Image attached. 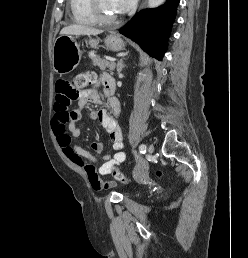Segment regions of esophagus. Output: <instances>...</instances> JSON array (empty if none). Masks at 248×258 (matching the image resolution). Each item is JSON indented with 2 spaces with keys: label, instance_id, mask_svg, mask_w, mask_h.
<instances>
[{
  "label": "esophagus",
  "instance_id": "34e87169",
  "mask_svg": "<svg viewBox=\"0 0 248 258\" xmlns=\"http://www.w3.org/2000/svg\"><path fill=\"white\" fill-rule=\"evenodd\" d=\"M143 6H144V2H142V3H141V5H140V9H142V8H143Z\"/></svg>",
  "mask_w": 248,
  "mask_h": 258
}]
</instances>
